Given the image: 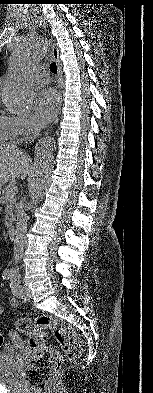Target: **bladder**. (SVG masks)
I'll list each match as a JSON object with an SVG mask.
<instances>
[{
    "instance_id": "bladder-1",
    "label": "bladder",
    "mask_w": 153,
    "mask_h": 393,
    "mask_svg": "<svg viewBox=\"0 0 153 393\" xmlns=\"http://www.w3.org/2000/svg\"><path fill=\"white\" fill-rule=\"evenodd\" d=\"M20 362L16 361L15 349L7 347L0 350V381L17 384L19 382Z\"/></svg>"
}]
</instances>
